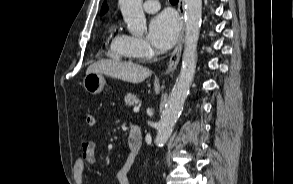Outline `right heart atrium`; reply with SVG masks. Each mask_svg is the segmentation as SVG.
I'll return each mask as SVG.
<instances>
[{
	"instance_id": "1",
	"label": "right heart atrium",
	"mask_w": 293,
	"mask_h": 184,
	"mask_svg": "<svg viewBox=\"0 0 293 184\" xmlns=\"http://www.w3.org/2000/svg\"><path fill=\"white\" fill-rule=\"evenodd\" d=\"M127 41L136 57L145 58L150 55L151 47L145 39L140 37L127 36Z\"/></svg>"
}]
</instances>
